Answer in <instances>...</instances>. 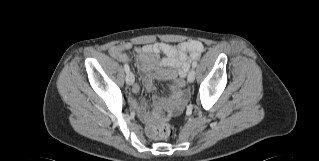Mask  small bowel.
Instances as JSON below:
<instances>
[{"mask_svg": "<svg viewBox=\"0 0 319 161\" xmlns=\"http://www.w3.org/2000/svg\"><path fill=\"white\" fill-rule=\"evenodd\" d=\"M132 47L131 43L125 42L110 47L108 53L115 59L128 62L130 59L125 51ZM203 52L204 45L196 40L184 41L179 44L155 42L135 48L137 66L143 74V82L149 92L154 90L153 81L155 79L167 77L176 79L172 98L168 101V105L175 112L180 111L188 98L184 78L189 70L190 62L198 59ZM162 54L165 56L164 58H160ZM132 91L138 93L140 86L136 83L133 84ZM129 102L140 119H150L151 113L147 110L146 104H138L133 97L129 98ZM162 103L163 101L157 97L151 101L154 106Z\"/></svg>", "mask_w": 319, "mask_h": 161, "instance_id": "small-bowel-1", "label": "small bowel"}]
</instances>
